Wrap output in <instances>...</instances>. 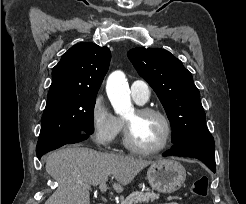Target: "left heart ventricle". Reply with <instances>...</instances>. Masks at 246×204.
<instances>
[{"mask_svg": "<svg viewBox=\"0 0 246 204\" xmlns=\"http://www.w3.org/2000/svg\"><path fill=\"white\" fill-rule=\"evenodd\" d=\"M132 129L133 141L143 148L158 146L165 135V125L156 115H139L136 110L126 116Z\"/></svg>", "mask_w": 246, "mask_h": 204, "instance_id": "left-heart-ventricle-1", "label": "left heart ventricle"}]
</instances>
